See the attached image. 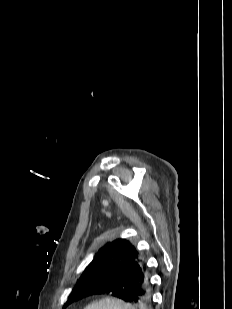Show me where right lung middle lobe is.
I'll list each match as a JSON object with an SVG mask.
<instances>
[{"label": "right lung middle lobe", "mask_w": 232, "mask_h": 309, "mask_svg": "<svg viewBox=\"0 0 232 309\" xmlns=\"http://www.w3.org/2000/svg\"><path fill=\"white\" fill-rule=\"evenodd\" d=\"M131 280L132 277L129 274H122L113 271H97L92 274L82 275L77 285L72 290L65 304V307L69 304L79 301L86 297V291L90 286L102 285L105 283H114L117 280ZM64 307V308H65Z\"/></svg>", "instance_id": "obj_1"}]
</instances>
